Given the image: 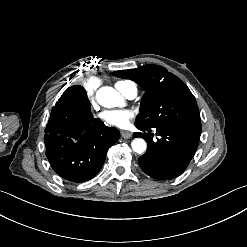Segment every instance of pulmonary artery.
I'll return each mask as SVG.
<instances>
[{"label": "pulmonary artery", "instance_id": "e3ab8cb5", "mask_svg": "<svg viewBox=\"0 0 247 247\" xmlns=\"http://www.w3.org/2000/svg\"><path fill=\"white\" fill-rule=\"evenodd\" d=\"M119 90H121L128 98H134L137 95L136 87L133 85L121 84Z\"/></svg>", "mask_w": 247, "mask_h": 247}]
</instances>
